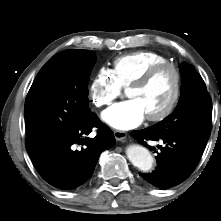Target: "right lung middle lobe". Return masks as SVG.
Masks as SVG:
<instances>
[{
    "mask_svg": "<svg viewBox=\"0 0 221 221\" xmlns=\"http://www.w3.org/2000/svg\"><path fill=\"white\" fill-rule=\"evenodd\" d=\"M96 56L67 50L52 57L37 74L25 102L26 139L69 136L91 114L88 80Z\"/></svg>",
    "mask_w": 221,
    "mask_h": 221,
    "instance_id": "obj_1",
    "label": "right lung middle lobe"
}]
</instances>
